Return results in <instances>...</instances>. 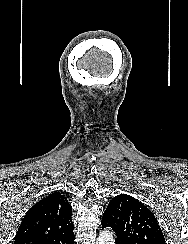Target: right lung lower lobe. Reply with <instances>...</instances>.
<instances>
[{
	"mask_svg": "<svg viewBox=\"0 0 188 244\" xmlns=\"http://www.w3.org/2000/svg\"><path fill=\"white\" fill-rule=\"evenodd\" d=\"M65 244H74V236L69 239Z\"/></svg>",
	"mask_w": 188,
	"mask_h": 244,
	"instance_id": "right-lung-lower-lobe-1",
	"label": "right lung lower lobe"
}]
</instances>
